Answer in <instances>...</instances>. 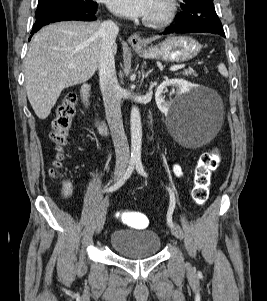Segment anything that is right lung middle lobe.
Instances as JSON below:
<instances>
[{
	"mask_svg": "<svg viewBox=\"0 0 267 301\" xmlns=\"http://www.w3.org/2000/svg\"><path fill=\"white\" fill-rule=\"evenodd\" d=\"M96 5L92 0H39L35 18L59 11H85Z\"/></svg>",
	"mask_w": 267,
	"mask_h": 301,
	"instance_id": "obj_1",
	"label": "right lung middle lobe"
}]
</instances>
